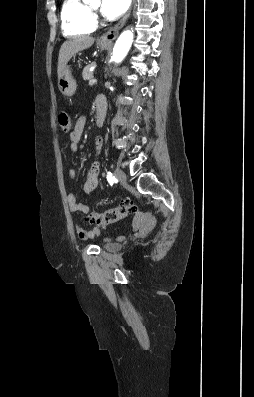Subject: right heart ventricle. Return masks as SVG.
<instances>
[{"label":"right heart ventricle","mask_w":254,"mask_h":397,"mask_svg":"<svg viewBox=\"0 0 254 397\" xmlns=\"http://www.w3.org/2000/svg\"><path fill=\"white\" fill-rule=\"evenodd\" d=\"M60 19L62 33L66 37L90 34L94 30L90 9L82 0H63Z\"/></svg>","instance_id":"obj_1"}]
</instances>
